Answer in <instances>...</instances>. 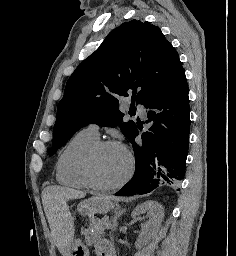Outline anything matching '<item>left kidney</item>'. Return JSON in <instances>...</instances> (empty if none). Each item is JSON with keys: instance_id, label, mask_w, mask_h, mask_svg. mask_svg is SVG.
<instances>
[{"instance_id": "obj_1", "label": "left kidney", "mask_w": 236, "mask_h": 256, "mask_svg": "<svg viewBox=\"0 0 236 256\" xmlns=\"http://www.w3.org/2000/svg\"><path fill=\"white\" fill-rule=\"evenodd\" d=\"M149 218L148 222L142 224V232L135 242V246L138 248H143L148 244L149 240H151L154 234H157L161 228V222H163L164 218V208H162L161 204L158 202H153V200H149V202H144V204H139L136 206L135 210L132 212V218L135 220H144V218H139L140 214H146Z\"/></svg>"}]
</instances>
